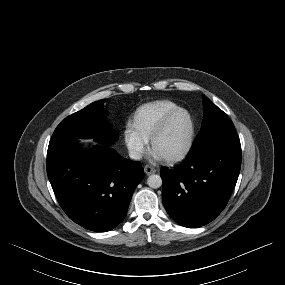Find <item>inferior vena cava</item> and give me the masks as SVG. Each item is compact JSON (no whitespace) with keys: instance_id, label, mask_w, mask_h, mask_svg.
I'll return each instance as SVG.
<instances>
[{"instance_id":"602c4592","label":"inferior vena cava","mask_w":285,"mask_h":285,"mask_svg":"<svg viewBox=\"0 0 285 285\" xmlns=\"http://www.w3.org/2000/svg\"><path fill=\"white\" fill-rule=\"evenodd\" d=\"M129 156L131 159H134V160H140L142 158L141 153L137 151H130Z\"/></svg>"}]
</instances>
